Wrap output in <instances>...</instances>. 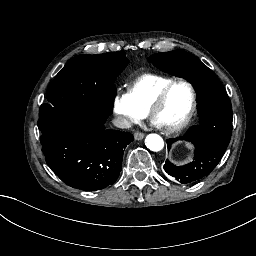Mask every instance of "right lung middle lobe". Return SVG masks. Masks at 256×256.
Listing matches in <instances>:
<instances>
[{"label": "right lung middle lobe", "instance_id": "dd1d6c3e", "mask_svg": "<svg viewBox=\"0 0 256 256\" xmlns=\"http://www.w3.org/2000/svg\"><path fill=\"white\" fill-rule=\"evenodd\" d=\"M125 52L77 55L50 83L39 110L38 128L59 118L87 115L106 120L112 113L116 77L127 66Z\"/></svg>", "mask_w": 256, "mask_h": 256}]
</instances>
